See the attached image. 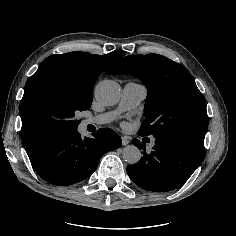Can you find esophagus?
<instances>
[{
	"label": "esophagus",
	"instance_id": "34e87169",
	"mask_svg": "<svg viewBox=\"0 0 236 236\" xmlns=\"http://www.w3.org/2000/svg\"><path fill=\"white\" fill-rule=\"evenodd\" d=\"M121 139H122V144L124 146H126L130 142L127 136H122Z\"/></svg>",
	"mask_w": 236,
	"mask_h": 236
}]
</instances>
